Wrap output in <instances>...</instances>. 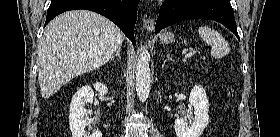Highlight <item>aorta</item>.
I'll list each match as a JSON object with an SVG mask.
<instances>
[{"label": "aorta", "instance_id": "762f6f07", "mask_svg": "<svg viewBox=\"0 0 280 137\" xmlns=\"http://www.w3.org/2000/svg\"><path fill=\"white\" fill-rule=\"evenodd\" d=\"M138 60L136 66V92L140 101L145 102L150 93V54L146 47L138 49Z\"/></svg>", "mask_w": 280, "mask_h": 137}]
</instances>
